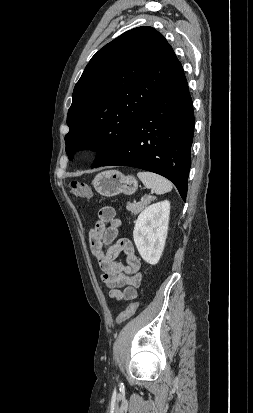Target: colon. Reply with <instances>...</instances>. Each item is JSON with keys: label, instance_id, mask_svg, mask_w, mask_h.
Masks as SVG:
<instances>
[{"label": "colon", "instance_id": "colon-1", "mask_svg": "<svg viewBox=\"0 0 253 413\" xmlns=\"http://www.w3.org/2000/svg\"><path fill=\"white\" fill-rule=\"evenodd\" d=\"M68 187L70 192L76 197L80 199H88L91 198L93 195V192L91 188L80 181H70L68 183ZM139 307V302H133L131 303L123 312L119 314V316L116 319V322L118 324H121L125 322L126 320L130 319L137 311Z\"/></svg>", "mask_w": 253, "mask_h": 413}]
</instances>
